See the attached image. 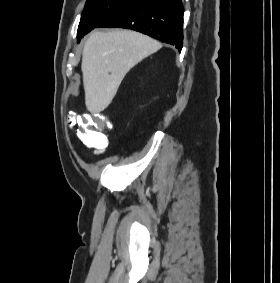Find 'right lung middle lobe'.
Here are the masks:
<instances>
[{"label": "right lung middle lobe", "instance_id": "1", "mask_svg": "<svg viewBox=\"0 0 280 283\" xmlns=\"http://www.w3.org/2000/svg\"><path fill=\"white\" fill-rule=\"evenodd\" d=\"M135 0H87L77 31L78 42L103 20Z\"/></svg>", "mask_w": 280, "mask_h": 283}]
</instances>
